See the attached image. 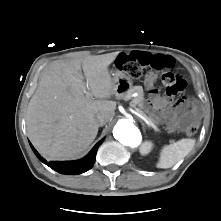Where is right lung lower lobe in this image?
Segmentation results:
<instances>
[{
    "mask_svg": "<svg viewBox=\"0 0 221 221\" xmlns=\"http://www.w3.org/2000/svg\"><path fill=\"white\" fill-rule=\"evenodd\" d=\"M102 141L103 140L99 141L91 150V152L83 159L76 161H51V162H47L45 159H43L34 149L32 144L30 142L29 143L32 150L38 157V159L41 160L46 165H48L50 168L61 174L76 175L88 171L93 166L96 158L97 149L102 143Z\"/></svg>",
    "mask_w": 221,
    "mask_h": 221,
    "instance_id": "right-lung-lower-lobe-1",
    "label": "right lung lower lobe"
}]
</instances>
